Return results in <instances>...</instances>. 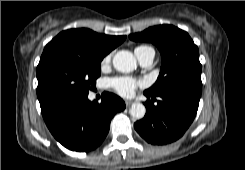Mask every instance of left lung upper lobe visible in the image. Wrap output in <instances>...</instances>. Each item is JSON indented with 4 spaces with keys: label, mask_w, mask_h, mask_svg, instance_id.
<instances>
[{
    "label": "left lung upper lobe",
    "mask_w": 245,
    "mask_h": 170,
    "mask_svg": "<svg viewBox=\"0 0 245 170\" xmlns=\"http://www.w3.org/2000/svg\"><path fill=\"white\" fill-rule=\"evenodd\" d=\"M133 41L152 42L160 50L162 66L156 83L145 92L159 95L171 89H187L201 94L198 47L187 32L172 25H159L129 35Z\"/></svg>",
    "instance_id": "5c2ea615"
}]
</instances>
